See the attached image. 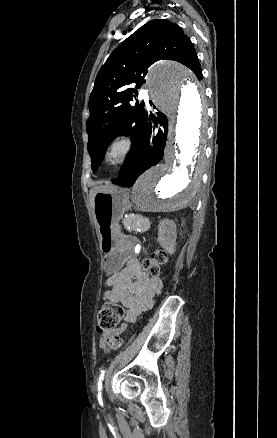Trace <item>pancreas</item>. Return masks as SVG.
<instances>
[{
	"label": "pancreas",
	"mask_w": 277,
	"mask_h": 438,
	"mask_svg": "<svg viewBox=\"0 0 277 438\" xmlns=\"http://www.w3.org/2000/svg\"><path fill=\"white\" fill-rule=\"evenodd\" d=\"M138 223V224H137ZM149 220L140 214H129L124 219V226L128 233H146Z\"/></svg>",
	"instance_id": "1"
}]
</instances>
